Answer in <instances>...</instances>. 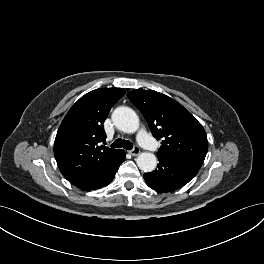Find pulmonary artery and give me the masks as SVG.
<instances>
[{
    "mask_svg": "<svg viewBox=\"0 0 264 264\" xmlns=\"http://www.w3.org/2000/svg\"><path fill=\"white\" fill-rule=\"evenodd\" d=\"M138 141L144 148L150 151H155L157 149L156 142L144 129L139 131Z\"/></svg>",
    "mask_w": 264,
    "mask_h": 264,
    "instance_id": "1",
    "label": "pulmonary artery"
}]
</instances>
